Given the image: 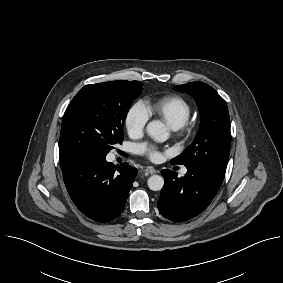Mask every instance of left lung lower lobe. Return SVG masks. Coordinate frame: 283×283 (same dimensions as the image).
Masks as SVG:
<instances>
[{
  "instance_id": "1",
  "label": "left lung lower lobe",
  "mask_w": 283,
  "mask_h": 283,
  "mask_svg": "<svg viewBox=\"0 0 283 283\" xmlns=\"http://www.w3.org/2000/svg\"><path fill=\"white\" fill-rule=\"evenodd\" d=\"M165 178L158 200V209L167 219L176 222L189 220L203 212L216 196L222 182H218L192 168L178 178L169 169L161 171Z\"/></svg>"
}]
</instances>
